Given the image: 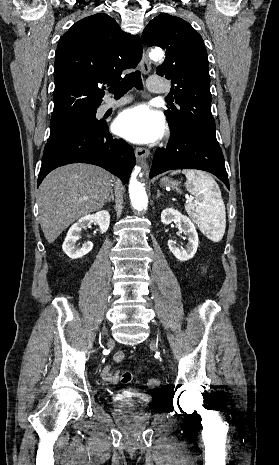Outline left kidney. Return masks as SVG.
<instances>
[{
	"mask_svg": "<svg viewBox=\"0 0 279 465\" xmlns=\"http://www.w3.org/2000/svg\"><path fill=\"white\" fill-rule=\"evenodd\" d=\"M161 222L166 225L174 222L187 235L188 244L186 249L180 250L173 240L168 241V247L179 261L185 262L191 259L195 255L199 244L198 234L193 222L173 208H166L162 211Z\"/></svg>",
	"mask_w": 279,
	"mask_h": 465,
	"instance_id": "5707ae66",
	"label": "left kidney"
}]
</instances>
